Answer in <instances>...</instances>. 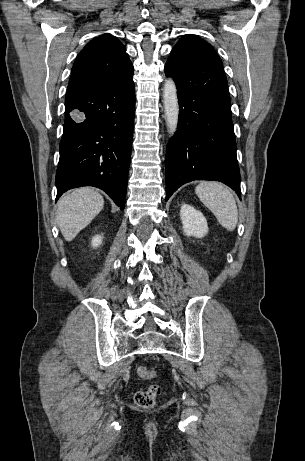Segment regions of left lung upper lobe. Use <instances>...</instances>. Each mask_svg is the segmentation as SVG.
Wrapping results in <instances>:
<instances>
[{"mask_svg": "<svg viewBox=\"0 0 305 461\" xmlns=\"http://www.w3.org/2000/svg\"><path fill=\"white\" fill-rule=\"evenodd\" d=\"M171 57L188 62H221L214 48L195 35H186L180 39L172 49Z\"/></svg>", "mask_w": 305, "mask_h": 461, "instance_id": "obj_1", "label": "left lung upper lobe"}]
</instances>
